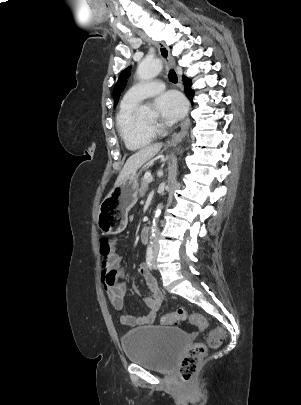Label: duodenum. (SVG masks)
<instances>
[{
	"label": "duodenum",
	"mask_w": 301,
	"mask_h": 405,
	"mask_svg": "<svg viewBox=\"0 0 301 405\" xmlns=\"http://www.w3.org/2000/svg\"><path fill=\"white\" fill-rule=\"evenodd\" d=\"M140 238H141L142 243L148 242V240H149V228L148 227H144L141 230Z\"/></svg>",
	"instance_id": "1"
}]
</instances>
